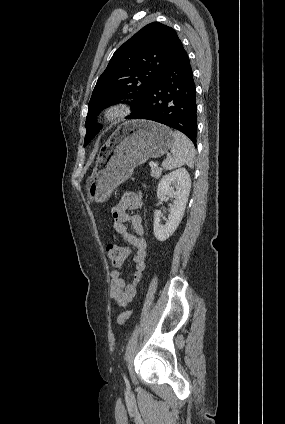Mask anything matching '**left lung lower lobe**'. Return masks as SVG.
<instances>
[{"instance_id": "obj_1", "label": "left lung lower lobe", "mask_w": 285, "mask_h": 424, "mask_svg": "<svg viewBox=\"0 0 285 424\" xmlns=\"http://www.w3.org/2000/svg\"><path fill=\"white\" fill-rule=\"evenodd\" d=\"M127 118L165 124L188 136L196 146L197 105L193 71L181 41L166 68Z\"/></svg>"}]
</instances>
